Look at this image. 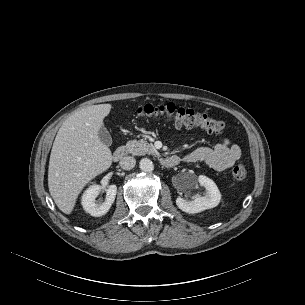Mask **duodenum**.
Returning a JSON list of instances; mask_svg holds the SVG:
<instances>
[{"mask_svg": "<svg viewBox=\"0 0 305 305\" xmlns=\"http://www.w3.org/2000/svg\"><path fill=\"white\" fill-rule=\"evenodd\" d=\"M126 153V147L124 145L118 146L112 155V159L114 162L120 161ZM180 159L176 156H169V157H164L161 159V164L164 167L170 168L179 163Z\"/></svg>", "mask_w": 305, "mask_h": 305, "instance_id": "1", "label": "duodenum"}]
</instances>
